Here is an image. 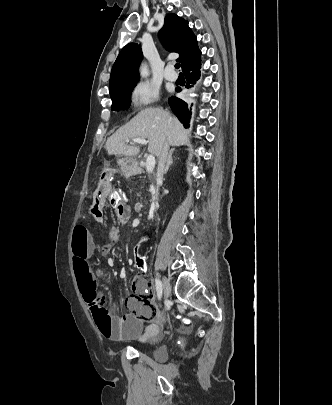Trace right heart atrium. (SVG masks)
I'll use <instances>...</instances> for the list:
<instances>
[{"mask_svg":"<svg viewBox=\"0 0 332 405\" xmlns=\"http://www.w3.org/2000/svg\"><path fill=\"white\" fill-rule=\"evenodd\" d=\"M159 101V91L147 82L136 84L130 93V102L135 108H145Z\"/></svg>","mask_w":332,"mask_h":405,"instance_id":"1","label":"right heart atrium"}]
</instances>
